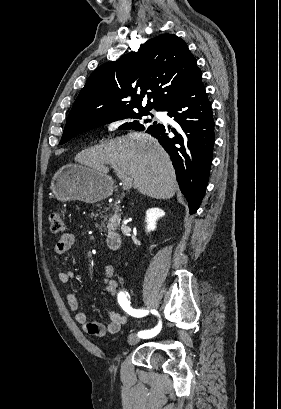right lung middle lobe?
Here are the masks:
<instances>
[{"instance_id":"1","label":"right lung middle lobe","mask_w":281,"mask_h":409,"mask_svg":"<svg viewBox=\"0 0 281 409\" xmlns=\"http://www.w3.org/2000/svg\"><path fill=\"white\" fill-rule=\"evenodd\" d=\"M145 115H150L149 111H139L138 113L136 111H129V112H123L108 118H105L103 120L97 121L95 123H92L90 125L84 126V127H70V128H65L63 135H62V139L60 141V144H64L67 141H69L71 138H73L74 136L91 130L93 128L96 127H100L103 126L105 124H109L111 122L114 121H118V120H122V119H126V118H140L141 116H145Z\"/></svg>"}]
</instances>
